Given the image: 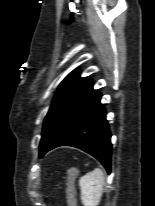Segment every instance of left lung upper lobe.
Returning <instances> with one entry per match:
<instances>
[{
    "label": "left lung upper lobe",
    "mask_w": 155,
    "mask_h": 206,
    "mask_svg": "<svg viewBox=\"0 0 155 206\" xmlns=\"http://www.w3.org/2000/svg\"><path fill=\"white\" fill-rule=\"evenodd\" d=\"M80 71H72L61 83L50 109L45 117L40 153L62 137L73 124L100 98L93 89V81L79 76Z\"/></svg>",
    "instance_id": "obj_1"
}]
</instances>
